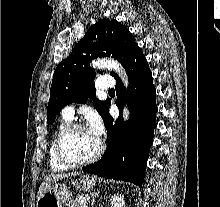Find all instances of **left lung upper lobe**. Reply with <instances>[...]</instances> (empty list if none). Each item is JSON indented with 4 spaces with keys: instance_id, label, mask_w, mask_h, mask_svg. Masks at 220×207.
Returning a JSON list of instances; mask_svg holds the SVG:
<instances>
[{
    "instance_id": "1",
    "label": "left lung upper lobe",
    "mask_w": 220,
    "mask_h": 207,
    "mask_svg": "<svg viewBox=\"0 0 220 207\" xmlns=\"http://www.w3.org/2000/svg\"><path fill=\"white\" fill-rule=\"evenodd\" d=\"M136 45L129 30L114 19L101 20L91 26L71 55L55 69L47 108L48 123H52L66 105L85 103L88 97L95 98V70L89 65L92 59L112 56L124 66ZM111 75L117 76L114 72ZM109 104L110 100L93 101L103 119Z\"/></svg>"
}]
</instances>
